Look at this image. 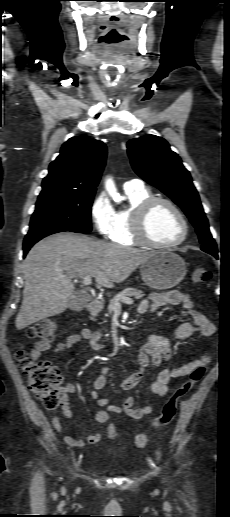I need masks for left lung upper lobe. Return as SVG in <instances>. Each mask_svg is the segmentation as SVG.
<instances>
[{
	"mask_svg": "<svg viewBox=\"0 0 230 517\" xmlns=\"http://www.w3.org/2000/svg\"><path fill=\"white\" fill-rule=\"evenodd\" d=\"M128 155L134 171L160 189L182 208L199 235L201 249L213 256L217 247L209 231L208 220L189 171L168 142L155 135L131 139Z\"/></svg>",
	"mask_w": 230,
	"mask_h": 517,
	"instance_id": "5c2ea615",
	"label": "left lung upper lobe"
}]
</instances>
